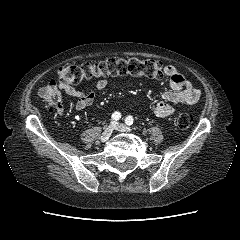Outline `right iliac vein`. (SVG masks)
Wrapping results in <instances>:
<instances>
[{"mask_svg":"<svg viewBox=\"0 0 240 240\" xmlns=\"http://www.w3.org/2000/svg\"><path fill=\"white\" fill-rule=\"evenodd\" d=\"M114 123H111L105 130H104V132L102 133V135H101V137H100V140L102 141V142H105V141H107L109 138H110V136H111V134H112V132H113V130H114Z\"/></svg>","mask_w":240,"mask_h":240,"instance_id":"right-iliac-vein-1","label":"right iliac vein"}]
</instances>
